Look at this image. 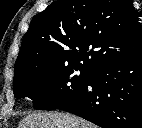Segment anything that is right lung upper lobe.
Here are the masks:
<instances>
[{
	"mask_svg": "<svg viewBox=\"0 0 142 128\" xmlns=\"http://www.w3.org/2000/svg\"><path fill=\"white\" fill-rule=\"evenodd\" d=\"M140 50V23L129 0H58L32 19L14 77L40 65L79 64L93 71Z\"/></svg>",
	"mask_w": 142,
	"mask_h": 128,
	"instance_id": "obj_1",
	"label": "right lung upper lobe"
}]
</instances>
